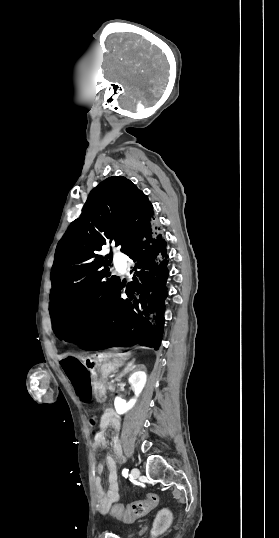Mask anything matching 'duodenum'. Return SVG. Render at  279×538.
Listing matches in <instances>:
<instances>
[{
    "label": "duodenum",
    "mask_w": 279,
    "mask_h": 538,
    "mask_svg": "<svg viewBox=\"0 0 279 538\" xmlns=\"http://www.w3.org/2000/svg\"><path fill=\"white\" fill-rule=\"evenodd\" d=\"M112 405H107V409H104V414H111Z\"/></svg>",
    "instance_id": "1"
}]
</instances>
